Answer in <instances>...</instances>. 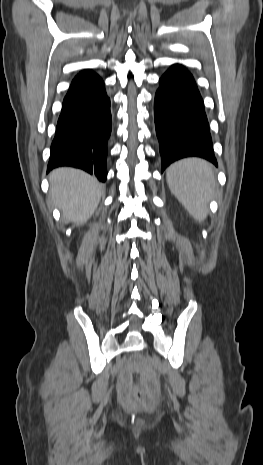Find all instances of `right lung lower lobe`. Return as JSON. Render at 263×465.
<instances>
[{
	"instance_id": "obj_1",
	"label": "right lung lower lobe",
	"mask_w": 263,
	"mask_h": 465,
	"mask_svg": "<svg viewBox=\"0 0 263 465\" xmlns=\"http://www.w3.org/2000/svg\"><path fill=\"white\" fill-rule=\"evenodd\" d=\"M110 134V99L103 80L90 70L82 71L64 98L47 171L72 166L105 182Z\"/></svg>"
}]
</instances>
